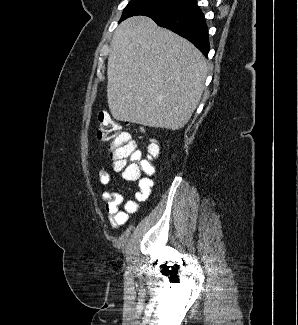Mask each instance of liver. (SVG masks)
I'll return each instance as SVG.
<instances>
[{
  "label": "liver",
  "mask_w": 298,
  "mask_h": 325,
  "mask_svg": "<svg viewBox=\"0 0 298 325\" xmlns=\"http://www.w3.org/2000/svg\"><path fill=\"white\" fill-rule=\"evenodd\" d=\"M107 76L116 120L178 130L200 102L207 62L183 36L149 16H130L114 30Z\"/></svg>",
  "instance_id": "6515ba94"
}]
</instances>
